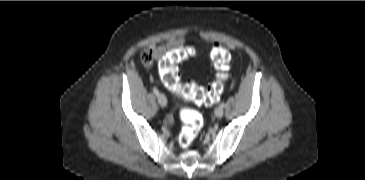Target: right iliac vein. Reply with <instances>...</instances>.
<instances>
[{
	"instance_id": "63e3f726",
	"label": "right iliac vein",
	"mask_w": 365,
	"mask_h": 180,
	"mask_svg": "<svg viewBox=\"0 0 365 180\" xmlns=\"http://www.w3.org/2000/svg\"><path fill=\"white\" fill-rule=\"evenodd\" d=\"M158 97V103L160 106L165 107L167 105V99L164 94L159 93Z\"/></svg>"
}]
</instances>
